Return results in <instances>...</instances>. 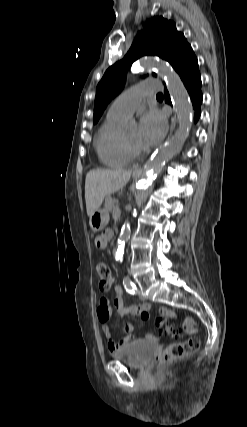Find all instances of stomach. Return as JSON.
I'll return each instance as SVG.
<instances>
[{
	"label": "stomach",
	"mask_w": 247,
	"mask_h": 427,
	"mask_svg": "<svg viewBox=\"0 0 247 427\" xmlns=\"http://www.w3.org/2000/svg\"><path fill=\"white\" fill-rule=\"evenodd\" d=\"M109 221V214L106 210L98 209L90 216L89 224L94 232H99L104 229Z\"/></svg>",
	"instance_id": "obj_1"
}]
</instances>
